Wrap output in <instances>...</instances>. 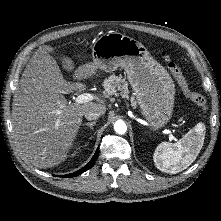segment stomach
<instances>
[{"mask_svg": "<svg viewBox=\"0 0 221 221\" xmlns=\"http://www.w3.org/2000/svg\"><path fill=\"white\" fill-rule=\"evenodd\" d=\"M93 61L78 69L96 66L105 72L118 67L125 70L142 115L154 129L166 125L172 117L175 84L168 71L139 41L120 32L99 37L92 47Z\"/></svg>", "mask_w": 221, "mask_h": 221, "instance_id": "obj_1", "label": "stomach"}]
</instances>
